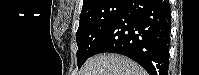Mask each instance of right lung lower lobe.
<instances>
[{
	"mask_svg": "<svg viewBox=\"0 0 199 75\" xmlns=\"http://www.w3.org/2000/svg\"><path fill=\"white\" fill-rule=\"evenodd\" d=\"M170 25L169 0H127L93 55L122 54L140 64L149 75H168Z\"/></svg>",
	"mask_w": 199,
	"mask_h": 75,
	"instance_id": "1",
	"label": "right lung lower lobe"
}]
</instances>
